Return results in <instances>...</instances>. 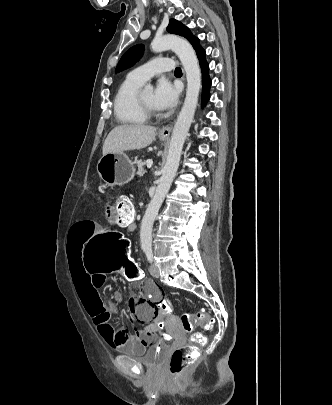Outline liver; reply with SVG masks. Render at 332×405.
Returning <instances> with one entry per match:
<instances>
[{"instance_id":"1","label":"liver","mask_w":332,"mask_h":405,"mask_svg":"<svg viewBox=\"0 0 332 405\" xmlns=\"http://www.w3.org/2000/svg\"><path fill=\"white\" fill-rule=\"evenodd\" d=\"M156 128L142 124H123L116 126L108 134L103 144V155L139 150L149 146L156 136Z\"/></svg>"}]
</instances>
